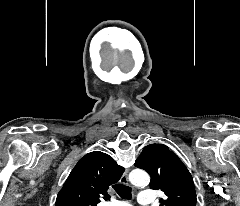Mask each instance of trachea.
<instances>
[{"label": "trachea", "instance_id": "3493384b", "mask_svg": "<svg viewBox=\"0 0 240 206\" xmlns=\"http://www.w3.org/2000/svg\"><path fill=\"white\" fill-rule=\"evenodd\" d=\"M113 188L121 198H129L131 196V187L124 184H115Z\"/></svg>", "mask_w": 240, "mask_h": 206}]
</instances>
